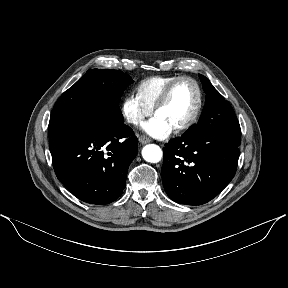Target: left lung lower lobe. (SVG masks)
<instances>
[{"mask_svg": "<svg viewBox=\"0 0 288 288\" xmlns=\"http://www.w3.org/2000/svg\"><path fill=\"white\" fill-rule=\"evenodd\" d=\"M239 155V145L205 131L169 141L162 166L167 195L179 204L207 203L230 183Z\"/></svg>", "mask_w": 288, "mask_h": 288, "instance_id": "1", "label": "left lung lower lobe"}]
</instances>
